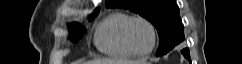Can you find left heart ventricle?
Masks as SVG:
<instances>
[{
	"instance_id": "left-heart-ventricle-1",
	"label": "left heart ventricle",
	"mask_w": 242,
	"mask_h": 64,
	"mask_svg": "<svg viewBox=\"0 0 242 64\" xmlns=\"http://www.w3.org/2000/svg\"><path fill=\"white\" fill-rule=\"evenodd\" d=\"M130 40L136 50L140 52L147 51L152 46V34L149 27L141 22H135L130 28Z\"/></svg>"
}]
</instances>
